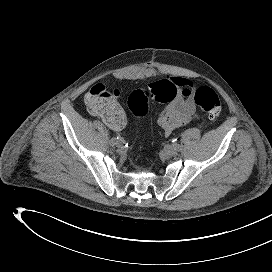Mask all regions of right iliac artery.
Returning <instances> with one entry per match:
<instances>
[{"instance_id": "82829eb1", "label": "right iliac artery", "mask_w": 272, "mask_h": 272, "mask_svg": "<svg viewBox=\"0 0 272 272\" xmlns=\"http://www.w3.org/2000/svg\"><path fill=\"white\" fill-rule=\"evenodd\" d=\"M108 138H109V140H111V141H110V144H111V145H114L115 140H118V141H119V139H117V137H116V136L114 137V135H112V134H111V135H109V137H108Z\"/></svg>"}]
</instances>
